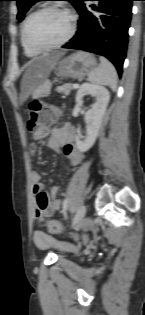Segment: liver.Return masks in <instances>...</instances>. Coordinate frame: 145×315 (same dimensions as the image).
Masks as SVG:
<instances>
[{"label":"liver","mask_w":145,"mask_h":315,"mask_svg":"<svg viewBox=\"0 0 145 315\" xmlns=\"http://www.w3.org/2000/svg\"><path fill=\"white\" fill-rule=\"evenodd\" d=\"M64 52L43 55L29 63L21 83L20 102L23 103L35 88L48 78Z\"/></svg>","instance_id":"obj_1"}]
</instances>
